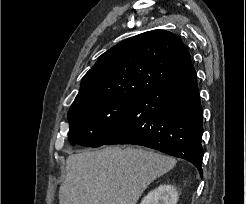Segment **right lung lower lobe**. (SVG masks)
I'll list each match as a JSON object with an SVG mask.
<instances>
[{
  "label": "right lung lower lobe",
  "mask_w": 246,
  "mask_h": 204,
  "mask_svg": "<svg viewBox=\"0 0 246 204\" xmlns=\"http://www.w3.org/2000/svg\"><path fill=\"white\" fill-rule=\"evenodd\" d=\"M202 119L197 77L190 66L140 94L122 126L105 144L156 149L191 162L202 176Z\"/></svg>",
  "instance_id": "98d812e1"
}]
</instances>
